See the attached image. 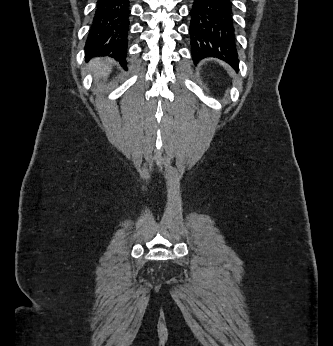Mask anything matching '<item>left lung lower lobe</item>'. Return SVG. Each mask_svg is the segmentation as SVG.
<instances>
[{
  "label": "left lung lower lobe",
  "instance_id": "0a47b994",
  "mask_svg": "<svg viewBox=\"0 0 333 346\" xmlns=\"http://www.w3.org/2000/svg\"><path fill=\"white\" fill-rule=\"evenodd\" d=\"M232 15L231 0H193L189 34L195 63L206 57H215L238 70Z\"/></svg>",
  "mask_w": 333,
  "mask_h": 346
}]
</instances>
